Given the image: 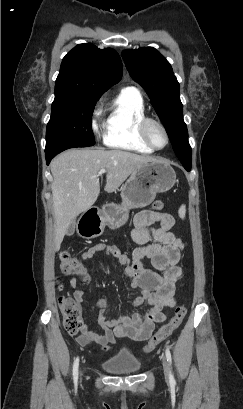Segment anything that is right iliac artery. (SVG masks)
Returning <instances> with one entry per match:
<instances>
[{
	"label": "right iliac artery",
	"instance_id": "1",
	"mask_svg": "<svg viewBox=\"0 0 243 409\" xmlns=\"http://www.w3.org/2000/svg\"><path fill=\"white\" fill-rule=\"evenodd\" d=\"M78 366H79V357H77L74 360V364H73V379L75 383H77V380H78Z\"/></svg>",
	"mask_w": 243,
	"mask_h": 409
}]
</instances>
